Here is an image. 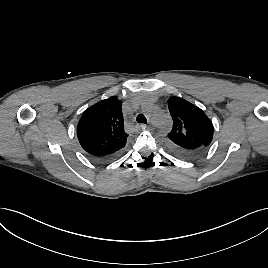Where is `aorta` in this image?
I'll use <instances>...</instances> for the list:
<instances>
[{
  "instance_id": "762f6f07",
  "label": "aorta",
  "mask_w": 268,
  "mask_h": 268,
  "mask_svg": "<svg viewBox=\"0 0 268 268\" xmlns=\"http://www.w3.org/2000/svg\"><path fill=\"white\" fill-rule=\"evenodd\" d=\"M142 109L156 128H164V115L155 105L148 103L143 105Z\"/></svg>"
}]
</instances>
